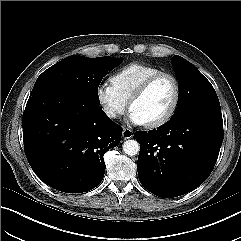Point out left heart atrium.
Here are the masks:
<instances>
[{
    "mask_svg": "<svg viewBox=\"0 0 241 241\" xmlns=\"http://www.w3.org/2000/svg\"><path fill=\"white\" fill-rule=\"evenodd\" d=\"M130 120L136 125H143L144 122L133 112L130 113Z\"/></svg>",
    "mask_w": 241,
    "mask_h": 241,
    "instance_id": "1",
    "label": "left heart atrium"
}]
</instances>
